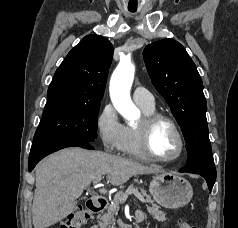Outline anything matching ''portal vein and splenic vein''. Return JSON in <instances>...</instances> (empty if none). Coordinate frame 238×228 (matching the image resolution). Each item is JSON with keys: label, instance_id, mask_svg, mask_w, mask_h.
Listing matches in <instances>:
<instances>
[{"label": "portal vein and splenic vein", "instance_id": "1", "mask_svg": "<svg viewBox=\"0 0 238 228\" xmlns=\"http://www.w3.org/2000/svg\"><path fill=\"white\" fill-rule=\"evenodd\" d=\"M101 179H102V178H98L97 181L99 182ZM99 192H100L101 194H106V193H107V190L104 189V188H101V189H99ZM131 194H134L135 197H136L139 201H141V202H146L145 199L141 196V194H140L138 191L134 190V189H128V190L126 191V193H125V194H122V195L115 194V197H118L119 199H121V200H123V201H126V199L128 198V196L131 195Z\"/></svg>", "mask_w": 238, "mask_h": 228}]
</instances>
